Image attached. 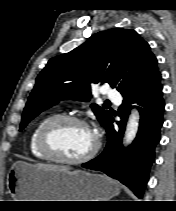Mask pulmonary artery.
Wrapping results in <instances>:
<instances>
[{"label": "pulmonary artery", "mask_w": 176, "mask_h": 211, "mask_svg": "<svg viewBox=\"0 0 176 211\" xmlns=\"http://www.w3.org/2000/svg\"><path fill=\"white\" fill-rule=\"evenodd\" d=\"M106 96H107V98H109L110 100L115 101V102H120V100H121L119 92H117L115 90H108L106 92Z\"/></svg>", "instance_id": "1"}]
</instances>
